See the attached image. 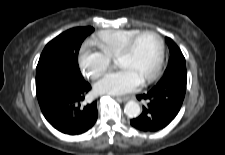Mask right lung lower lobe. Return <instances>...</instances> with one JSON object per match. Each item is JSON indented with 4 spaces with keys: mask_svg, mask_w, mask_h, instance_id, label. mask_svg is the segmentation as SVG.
<instances>
[{
    "mask_svg": "<svg viewBox=\"0 0 225 155\" xmlns=\"http://www.w3.org/2000/svg\"><path fill=\"white\" fill-rule=\"evenodd\" d=\"M90 89L82 76L62 75L36 93L46 120L58 131L76 135L89 130L97 120L95 101L81 105Z\"/></svg>",
    "mask_w": 225,
    "mask_h": 155,
    "instance_id": "98d812e1",
    "label": "right lung lower lobe"
}]
</instances>
